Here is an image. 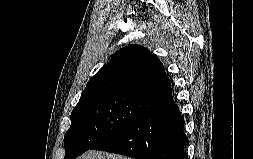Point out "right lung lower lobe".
I'll return each instance as SVG.
<instances>
[{
	"instance_id": "1",
	"label": "right lung lower lobe",
	"mask_w": 253,
	"mask_h": 159,
	"mask_svg": "<svg viewBox=\"0 0 253 159\" xmlns=\"http://www.w3.org/2000/svg\"><path fill=\"white\" fill-rule=\"evenodd\" d=\"M187 140L184 119L171 97L92 149L136 159H187Z\"/></svg>"
}]
</instances>
